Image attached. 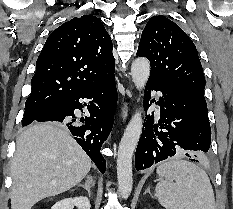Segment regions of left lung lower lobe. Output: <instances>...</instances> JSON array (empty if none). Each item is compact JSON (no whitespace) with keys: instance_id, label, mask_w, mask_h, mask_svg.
<instances>
[{"instance_id":"1","label":"left lung lower lobe","mask_w":233,"mask_h":209,"mask_svg":"<svg viewBox=\"0 0 233 209\" xmlns=\"http://www.w3.org/2000/svg\"><path fill=\"white\" fill-rule=\"evenodd\" d=\"M153 90L162 93L157 102L160 105V119L154 124V112L145 117L136 150V169L149 168L170 156H190L184 150L208 152L211 128L207 105L185 90L150 76L145 89L148 99ZM144 105L148 109L147 100Z\"/></svg>"}]
</instances>
